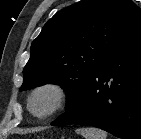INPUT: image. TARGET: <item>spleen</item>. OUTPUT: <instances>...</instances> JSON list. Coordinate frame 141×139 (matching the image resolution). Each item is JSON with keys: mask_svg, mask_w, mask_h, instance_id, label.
Here are the masks:
<instances>
[{"mask_svg": "<svg viewBox=\"0 0 141 139\" xmlns=\"http://www.w3.org/2000/svg\"><path fill=\"white\" fill-rule=\"evenodd\" d=\"M77 133L85 139H106L107 136L106 132L94 127L79 128Z\"/></svg>", "mask_w": 141, "mask_h": 139, "instance_id": "obj_1", "label": "spleen"}]
</instances>
